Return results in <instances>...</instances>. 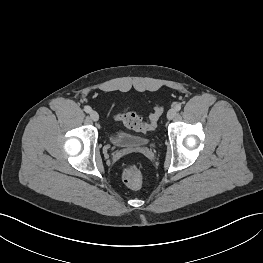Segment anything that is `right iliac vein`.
<instances>
[{"label": "right iliac vein", "mask_w": 263, "mask_h": 263, "mask_svg": "<svg viewBox=\"0 0 263 263\" xmlns=\"http://www.w3.org/2000/svg\"><path fill=\"white\" fill-rule=\"evenodd\" d=\"M90 118L93 121H98L99 120V114L96 111H91L90 112Z\"/></svg>", "instance_id": "right-iliac-vein-1"}]
</instances>
